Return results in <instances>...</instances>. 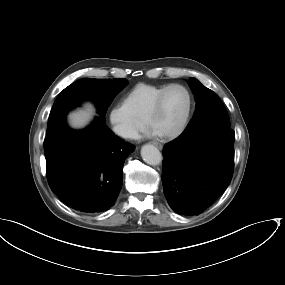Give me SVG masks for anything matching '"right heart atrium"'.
Returning a JSON list of instances; mask_svg holds the SVG:
<instances>
[{"mask_svg": "<svg viewBox=\"0 0 285 285\" xmlns=\"http://www.w3.org/2000/svg\"><path fill=\"white\" fill-rule=\"evenodd\" d=\"M107 119L111 130L124 140H133L138 132L145 128V123L134 117L124 103L109 107Z\"/></svg>", "mask_w": 285, "mask_h": 285, "instance_id": "1", "label": "right heart atrium"}]
</instances>
